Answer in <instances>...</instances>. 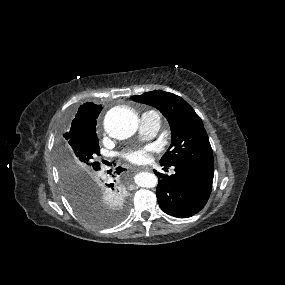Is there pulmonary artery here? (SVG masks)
Instances as JSON below:
<instances>
[{
  "label": "pulmonary artery",
  "instance_id": "e3ab8cb5",
  "mask_svg": "<svg viewBox=\"0 0 285 285\" xmlns=\"http://www.w3.org/2000/svg\"><path fill=\"white\" fill-rule=\"evenodd\" d=\"M161 117L157 111H146L140 118V132L145 137H153L159 131Z\"/></svg>",
  "mask_w": 285,
  "mask_h": 285
}]
</instances>
